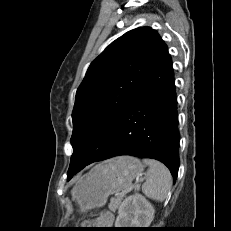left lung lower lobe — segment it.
<instances>
[{
    "label": "left lung lower lobe",
    "mask_w": 231,
    "mask_h": 231,
    "mask_svg": "<svg viewBox=\"0 0 231 231\" xmlns=\"http://www.w3.org/2000/svg\"><path fill=\"white\" fill-rule=\"evenodd\" d=\"M178 152L175 79L165 45L86 165L120 155L152 158L164 163L176 178Z\"/></svg>",
    "instance_id": "0a47b994"
}]
</instances>
